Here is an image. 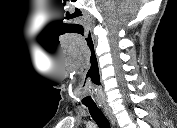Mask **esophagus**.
I'll list each match as a JSON object with an SVG mask.
<instances>
[{
	"label": "esophagus",
	"mask_w": 177,
	"mask_h": 128,
	"mask_svg": "<svg viewBox=\"0 0 177 128\" xmlns=\"http://www.w3.org/2000/svg\"><path fill=\"white\" fill-rule=\"evenodd\" d=\"M104 110H105L106 114L108 115L109 119L111 120L112 124L114 125V118H113V115H112L110 109L107 106H104Z\"/></svg>",
	"instance_id": "34e87169"
}]
</instances>
